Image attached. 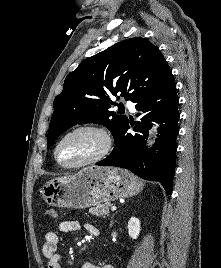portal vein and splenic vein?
I'll return each mask as SVG.
<instances>
[{
  "instance_id": "1",
  "label": "portal vein and splenic vein",
  "mask_w": 221,
  "mask_h": 268,
  "mask_svg": "<svg viewBox=\"0 0 221 268\" xmlns=\"http://www.w3.org/2000/svg\"><path fill=\"white\" fill-rule=\"evenodd\" d=\"M117 207L116 206H112L111 207V211H116Z\"/></svg>"
}]
</instances>
